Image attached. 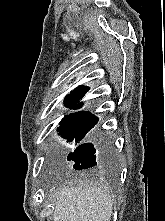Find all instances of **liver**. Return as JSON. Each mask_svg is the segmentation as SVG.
Masks as SVG:
<instances>
[{
  "label": "liver",
  "instance_id": "liver-1",
  "mask_svg": "<svg viewBox=\"0 0 165 221\" xmlns=\"http://www.w3.org/2000/svg\"><path fill=\"white\" fill-rule=\"evenodd\" d=\"M53 221H110L112 198L103 186L75 181L55 192Z\"/></svg>",
  "mask_w": 165,
  "mask_h": 221
}]
</instances>
